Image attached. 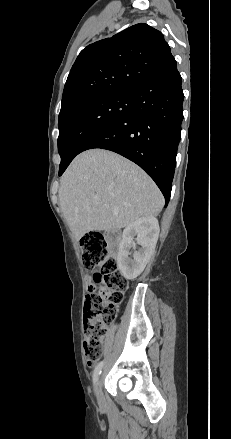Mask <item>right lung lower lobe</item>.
Wrapping results in <instances>:
<instances>
[{
  "mask_svg": "<svg viewBox=\"0 0 231 439\" xmlns=\"http://www.w3.org/2000/svg\"><path fill=\"white\" fill-rule=\"evenodd\" d=\"M181 83L174 65L144 84L133 93L131 111L99 130L79 150L107 149L135 162L155 181L165 197V206L170 199L181 138Z\"/></svg>",
  "mask_w": 231,
  "mask_h": 439,
  "instance_id": "1",
  "label": "right lung lower lobe"
}]
</instances>
